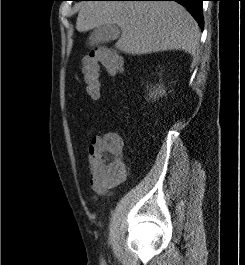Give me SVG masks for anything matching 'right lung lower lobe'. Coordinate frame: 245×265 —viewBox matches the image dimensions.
<instances>
[{
	"label": "right lung lower lobe",
	"instance_id": "obj_1",
	"mask_svg": "<svg viewBox=\"0 0 245 265\" xmlns=\"http://www.w3.org/2000/svg\"><path fill=\"white\" fill-rule=\"evenodd\" d=\"M124 1V0H122ZM126 1H176L189 10L191 15L198 22L200 28H204V19L202 15L203 0H126Z\"/></svg>",
	"mask_w": 245,
	"mask_h": 265
}]
</instances>
